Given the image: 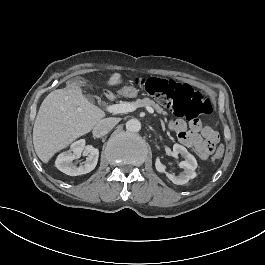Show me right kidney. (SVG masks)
<instances>
[{
  "mask_svg": "<svg viewBox=\"0 0 265 265\" xmlns=\"http://www.w3.org/2000/svg\"><path fill=\"white\" fill-rule=\"evenodd\" d=\"M87 156L84 165L79 167L73 164L76 156ZM99 157V150L92 145H85V139H80L71 144L70 150L58 155L55 166L63 173L70 176L87 174L95 169Z\"/></svg>",
  "mask_w": 265,
  "mask_h": 265,
  "instance_id": "ca27d5eb",
  "label": "right kidney"
}]
</instances>
